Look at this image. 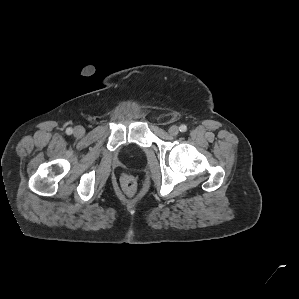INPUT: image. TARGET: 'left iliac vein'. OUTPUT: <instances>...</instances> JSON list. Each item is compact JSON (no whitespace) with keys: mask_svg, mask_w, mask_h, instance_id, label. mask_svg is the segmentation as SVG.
Wrapping results in <instances>:
<instances>
[{"mask_svg":"<svg viewBox=\"0 0 299 299\" xmlns=\"http://www.w3.org/2000/svg\"><path fill=\"white\" fill-rule=\"evenodd\" d=\"M168 132L171 136H177L179 133V128L176 125H173L169 128Z\"/></svg>","mask_w":299,"mask_h":299,"instance_id":"obj_1","label":"left iliac vein"}]
</instances>
